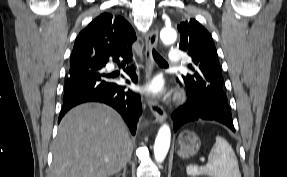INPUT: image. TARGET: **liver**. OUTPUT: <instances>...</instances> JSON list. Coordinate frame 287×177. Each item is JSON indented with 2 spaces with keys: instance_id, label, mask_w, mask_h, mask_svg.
Masks as SVG:
<instances>
[{
  "instance_id": "1",
  "label": "liver",
  "mask_w": 287,
  "mask_h": 177,
  "mask_svg": "<svg viewBox=\"0 0 287 177\" xmlns=\"http://www.w3.org/2000/svg\"><path fill=\"white\" fill-rule=\"evenodd\" d=\"M132 151L127 127L114 109L82 104L60 122L48 177H109L127 165Z\"/></svg>"
}]
</instances>
